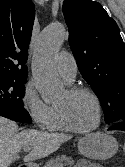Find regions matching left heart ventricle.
Masks as SVG:
<instances>
[{
	"label": "left heart ventricle",
	"mask_w": 125,
	"mask_h": 167,
	"mask_svg": "<svg viewBox=\"0 0 125 167\" xmlns=\"http://www.w3.org/2000/svg\"><path fill=\"white\" fill-rule=\"evenodd\" d=\"M56 105L66 109L72 123L81 129L92 127L98 119V110L94 100L87 94L70 97L65 91Z\"/></svg>",
	"instance_id": "1"
}]
</instances>
